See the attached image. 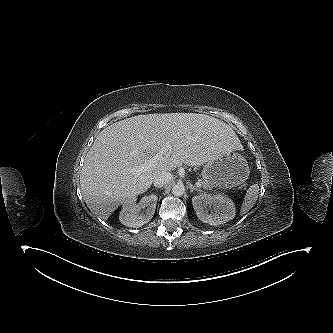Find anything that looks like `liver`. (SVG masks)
<instances>
[{
    "label": "liver",
    "instance_id": "obj_1",
    "mask_svg": "<svg viewBox=\"0 0 333 333\" xmlns=\"http://www.w3.org/2000/svg\"><path fill=\"white\" fill-rule=\"evenodd\" d=\"M166 142L170 155L154 167L132 170L155 157ZM232 128L204 114L165 113L138 115L103 129L89 149L80 174V188L88 208L99 218L109 216L126 200L146 192L159 172L183 164L201 166L242 150Z\"/></svg>",
    "mask_w": 333,
    "mask_h": 333
}]
</instances>
